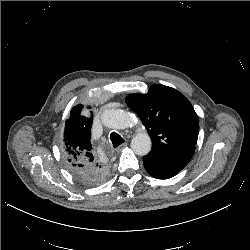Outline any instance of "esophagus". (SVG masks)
Returning a JSON list of instances; mask_svg holds the SVG:
<instances>
[{"mask_svg": "<svg viewBox=\"0 0 250 250\" xmlns=\"http://www.w3.org/2000/svg\"><path fill=\"white\" fill-rule=\"evenodd\" d=\"M127 146V143L121 144L117 149L116 152H120L122 149H124Z\"/></svg>", "mask_w": 250, "mask_h": 250, "instance_id": "obj_1", "label": "esophagus"}]
</instances>
